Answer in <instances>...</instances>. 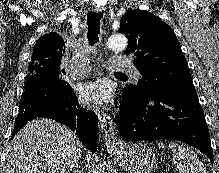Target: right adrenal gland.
<instances>
[{
    "mask_svg": "<svg viewBox=\"0 0 219 173\" xmlns=\"http://www.w3.org/2000/svg\"><path fill=\"white\" fill-rule=\"evenodd\" d=\"M80 166L79 165H76L73 169V173H82L80 170H79Z\"/></svg>",
    "mask_w": 219,
    "mask_h": 173,
    "instance_id": "2a0ac1e0",
    "label": "right adrenal gland"
}]
</instances>
